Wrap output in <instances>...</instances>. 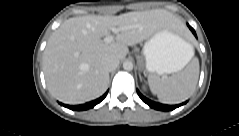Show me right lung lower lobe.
Segmentation results:
<instances>
[{"label": "right lung lower lobe", "instance_id": "98d812e1", "mask_svg": "<svg viewBox=\"0 0 239 136\" xmlns=\"http://www.w3.org/2000/svg\"><path fill=\"white\" fill-rule=\"evenodd\" d=\"M107 93H108V91L103 96H101L100 98H98L96 100H93L91 102L82 104V105L69 106V105H65V104H62V103H60V104L64 107H66V108L71 109V110H77V111L87 110V109L93 108L95 105L100 103L106 97Z\"/></svg>", "mask_w": 239, "mask_h": 136}]
</instances>
